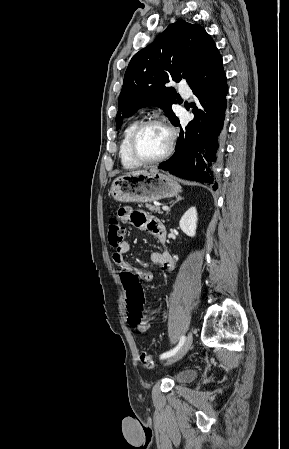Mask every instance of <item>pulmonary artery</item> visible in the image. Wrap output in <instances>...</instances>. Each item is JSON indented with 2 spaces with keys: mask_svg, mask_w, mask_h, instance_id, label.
I'll use <instances>...</instances> for the list:
<instances>
[{
  "mask_svg": "<svg viewBox=\"0 0 289 449\" xmlns=\"http://www.w3.org/2000/svg\"><path fill=\"white\" fill-rule=\"evenodd\" d=\"M184 93V95L189 96L190 95V91L188 89H184L182 91Z\"/></svg>",
  "mask_w": 289,
  "mask_h": 449,
  "instance_id": "obj_1",
  "label": "pulmonary artery"
}]
</instances>
